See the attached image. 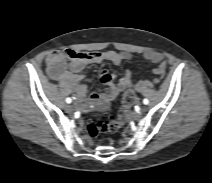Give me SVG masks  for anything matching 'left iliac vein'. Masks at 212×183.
Here are the masks:
<instances>
[{
    "label": "left iliac vein",
    "mask_w": 212,
    "mask_h": 183,
    "mask_svg": "<svg viewBox=\"0 0 212 183\" xmlns=\"http://www.w3.org/2000/svg\"><path fill=\"white\" fill-rule=\"evenodd\" d=\"M146 110V107H142L141 111L144 112Z\"/></svg>",
    "instance_id": "1"
}]
</instances>
